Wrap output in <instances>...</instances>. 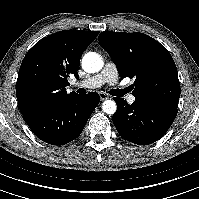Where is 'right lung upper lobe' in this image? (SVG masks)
<instances>
[{
    "mask_svg": "<svg viewBox=\"0 0 199 199\" xmlns=\"http://www.w3.org/2000/svg\"><path fill=\"white\" fill-rule=\"evenodd\" d=\"M98 31L63 30L37 42L19 69L16 96L23 116L77 95L67 93V78L79 67L84 50Z\"/></svg>",
    "mask_w": 199,
    "mask_h": 199,
    "instance_id": "obj_1",
    "label": "right lung upper lobe"
}]
</instances>
